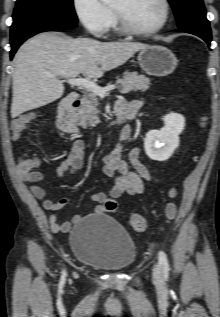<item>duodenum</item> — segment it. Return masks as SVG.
<instances>
[{"mask_svg": "<svg viewBox=\"0 0 220 317\" xmlns=\"http://www.w3.org/2000/svg\"><path fill=\"white\" fill-rule=\"evenodd\" d=\"M79 95L76 92L70 93L65 97L58 107L57 126L63 132L69 134H80L81 130L74 120L75 112L79 107ZM127 115L126 108L122 101L116 103L115 108V124L121 125L120 138L127 139V127L123 125Z\"/></svg>", "mask_w": 220, "mask_h": 317, "instance_id": "410a0bca", "label": "duodenum"}]
</instances>
